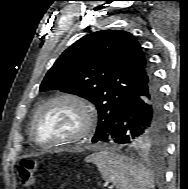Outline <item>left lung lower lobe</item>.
<instances>
[{
    "label": "left lung lower lobe",
    "instance_id": "obj_1",
    "mask_svg": "<svg viewBox=\"0 0 188 189\" xmlns=\"http://www.w3.org/2000/svg\"><path fill=\"white\" fill-rule=\"evenodd\" d=\"M165 116L159 85L152 77L139 86L120 112L109 131L98 141L115 144H134L144 134H164ZM95 143V142H94Z\"/></svg>",
    "mask_w": 188,
    "mask_h": 189
}]
</instances>
